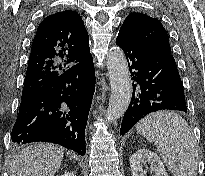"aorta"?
Listing matches in <instances>:
<instances>
[{
  "label": "aorta",
  "mask_w": 205,
  "mask_h": 176,
  "mask_svg": "<svg viewBox=\"0 0 205 176\" xmlns=\"http://www.w3.org/2000/svg\"><path fill=\"white\" fill-rule=\"evenodd\" d=\"M106 64L111 85V97L105 118L106 121L112 122L122 117L127 110L132 97V85L126 57L120 47L114 46L109 50Z\"/></svg>",
  "instance_id": "1"
}]
</instances>
